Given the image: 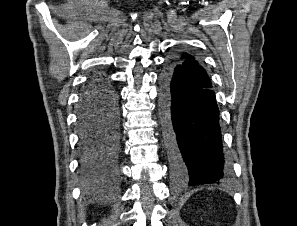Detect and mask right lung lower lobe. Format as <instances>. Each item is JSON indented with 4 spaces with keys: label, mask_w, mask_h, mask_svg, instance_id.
I'll return each mask as SVG.
<instances>
[{
    "label": "right lung lower lobe",
    "mask_w": 297,
    "mask_h": 226,
    "mask_svg": "<svg viewBox=\"0 0 297 226\" xmlns=\"http://www.w3.org/2000/svg\"><path fill=\"white\" fill-rule=\"evenodd\" d=\"M119 99L110 79L93 76L80 95L77 113L80 176L87 189L117 179L119 155Z\"/></svg>",
    "instance_id": "obj_1"
}]
</instances>
